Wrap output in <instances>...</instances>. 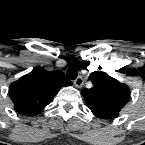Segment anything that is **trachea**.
Masks as SVG:
<instances>
[{
	"instance_id": "1",
	"label": "trachea",
	"mask_w": 145,
	"mask_h": 145,
	"mask_svg": "<svg viewBox=\"0 0 145 145\" xmlns=\"http://www.w3.org/2000/svg\"><path fill=\"white\" fill-rule=\"evenodd\" d=\"M77 75H78V70H77V68L75 67V66H70L69 68H68V70H67V77L69 78V79H72V80H74V79H76L77 78Z\"/></svg>"
}]
</instances>
